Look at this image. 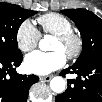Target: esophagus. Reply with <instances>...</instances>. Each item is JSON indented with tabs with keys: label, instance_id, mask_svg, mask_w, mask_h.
<instances>
[{
	"label": "esophagus",
	"instance_id": "34e87169",
	"mask_svg": "<svg viewBox=\"0 0 102 102\" xmlns=\"http://www.w3.org/2000/svg\"><path fill=\"white\" fill-rule=\"evenodd\" d=\"M52 76H40V80L43 82H48L50 81Z\"/></svg>",
	"mask_w": 102,
	"mask_h": 102
}]
</instances>
